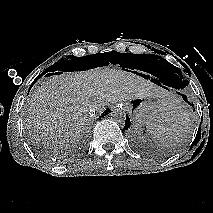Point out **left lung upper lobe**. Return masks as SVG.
<instances>
[{"mask_svg": "<svg viewBox=\"0 0 213 213\" xmlns=\"http://www.w3.org/2000/svg\"><path fill=\"white\" fill-rule=\"evenodd\" d=\"M134 62L138 64L137 69L166 76L173 82L176 89H184L188 85V80H184L181 70L160 56L140 54Z\"/></svg>", "mask_w": 213, "mask_h": 213, "instance_id": "left-lung-upper-lobe-1", "label": "left lung upper lobe"}]
</instances>
